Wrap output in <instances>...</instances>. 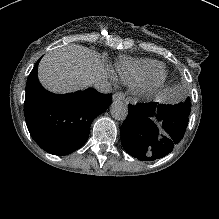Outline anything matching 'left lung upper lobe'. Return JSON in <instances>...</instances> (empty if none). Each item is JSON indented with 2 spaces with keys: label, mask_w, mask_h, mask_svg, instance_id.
<instances>
[{
  "label": "left lung upper lobe",
  "mask_w": 219,
  "mask_h": 219,
  "mask_svg": "<svg viewBox=\"0 0 219 219\" xmlns=\"http://www.w3.org/2000/svg\"><path fill=\"white\" fill-rule=\"evenodd\" d=\"M173 106L180 108L187 113H190L191 103H190L189 98H187L185 102H181V103H178L177 105H173Z\"/></svg>",
  "instance_id": "obj_1"
}]
</instances>
